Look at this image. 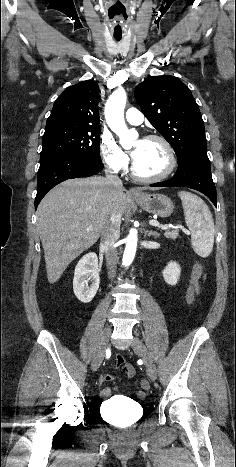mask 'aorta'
Returning <instances> with one entry per match:
<instances>
[{"label":"aorta","instance_id":"1","mask_svg":"<svg viewBox=\"0 0 236 467\" xmlns=\"http://www.w3.org/2000/svg\"><path fill=\"white\" fill-rule=\"evenodd\" d=\"M127 101V94L124 89H116L108 98L105 105V118L110 129L120 137L123 143L129 138V131L124 120V108ZM137 231L131 229L126 238V246L123 254V265L129 266L134 260L137 249Z\"/></svg>","mask_w":236,"mask_h":467}]
</instances>
